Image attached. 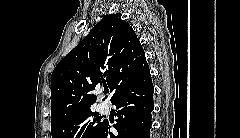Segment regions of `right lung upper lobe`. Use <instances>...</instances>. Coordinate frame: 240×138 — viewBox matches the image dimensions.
Instances as JSON below:
<instances>
[{"mask_svg": "<svg viewBox=\"0 0 240 138\" xmlns=\"http://www.w3.org/2000/svg\"><path fill=\"white\" fill-rule=\"evenodd\" d=\"M144 50L121 14H108L56 66L51 76V125L70 119L96 101L90 92L104 84L112 98L148 74Z\"/></svg>", "mask_w": 240, "mask_h": 138, "instance_id": "obj_1", "label": "right lung upper lobe"}]
</instances>
